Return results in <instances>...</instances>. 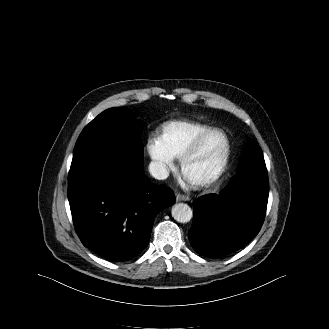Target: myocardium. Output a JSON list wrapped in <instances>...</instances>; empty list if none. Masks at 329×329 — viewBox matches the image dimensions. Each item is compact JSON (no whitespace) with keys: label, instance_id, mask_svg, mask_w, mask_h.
I'll return each instance as SVG.
<instances>
[{"label":"myocardium","instance_id":"f54148a6","mask_svg":"<svg viewBox=\"0 0 329 329\" xmlns=\"http://www.w3.org/2000/svg\"><path fill=\"white\" fill-rule=\"evenodd\" d=\"M214 133H220L225 138L226 148H225V152L223 155V159H222L219 167L217 168V170L211 176H209L203 180H199V181H191L188 179V181L193 186L198 187V188H204V187L211 186L216 181H218L221 178V176L224 174V172L226 171L230 158H231V153H232V144H231V140H230L228 134L220 128H211V129L205 131L204 133L200 134L191 143V145L184 151V153L180 157V172L183 176H185L184 170H185V167H186V164L188 163V161L197 154L202 143L209 136H211Z\"/></svg>","mask_w":329,"mask_h":329}]
</instances>
